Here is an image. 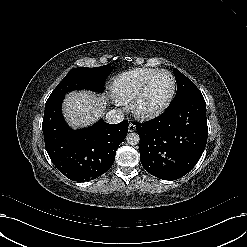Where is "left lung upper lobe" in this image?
I'll list each match as a JSON object with an SVG mask.
<instances>
[{
  "mask_svg": "<svg viewBox=\"0 0 247 247\" xmlns=\"http://www.w3.org/2000/svg\"><path fill=\"white\" fill-rule=\"evenodd\" d=\"M173 71L177 82V92L170 106L179 104L195 95L201 94L200 90L190 79H188L176 68H174Z\"/></svg>",
  "mask_w": 247,
  "mask_h": 247,
  "instance_id": "obj_1",
  "label": "left lung upper lobe"
}]
</instances>
